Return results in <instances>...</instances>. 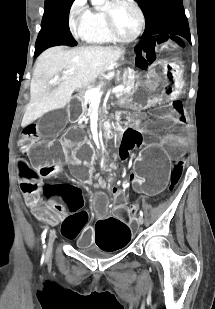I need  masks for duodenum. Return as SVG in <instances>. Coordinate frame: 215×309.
Listing matches in <instances>:
<instances>
[{"label": "duodenum", "mask_w": 215, "mask_h": 309, "mask_svg": "<svg viewBox=\"0 0 215 309\" xmlns=\"http://www.w3.org/2000/svg\"><path fill=\"white\" fill-rule=\"evenodd\" d=\"M133 121L132 117L125 113H118L112 119H102L100 136H106L125 129Z\"/></svg>", "instance_id": "410a0bca"}]
</instances>
